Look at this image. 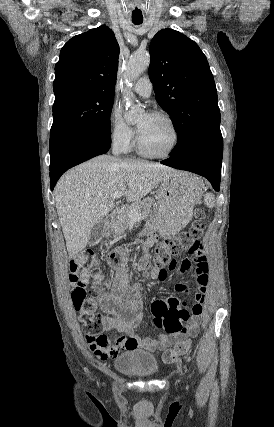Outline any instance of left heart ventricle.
Here are the masks:
<instances>
[{"mask_svg":"<svg viewBox=\"0 0 274 427\" xmlns=\"http://www.w3.org/2000/svg\"><path fill=\"white\" fill-rule=\"evenodd\" d=\"M137 133L143 149L151 154H163L173 142L169 124L157 117L142 114L137 123Z\"/></svg>","mask_w":274,"mask_h":427,"instance_id":"left-heart-ventricle-1","label":"left heart ventricle"}]
</instances>
